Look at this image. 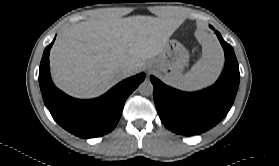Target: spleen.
<instances>
[{
	"label": "spleen",
	"mask_w": 279,
	"mask_h": 166,
	"mask_svg": "<svg viewBox=\"0 0 279 166\" xmlns=\"http://www.w3.org/2000/svg\"><path fill=\"white\" fill-rule=\"evenodd\" d=\"M202 44V56L185 75H179L169 82L184 91H196L213 84L223 67V53L216 39L205 32L197 34Z\"/></svg>",
	"instance_id": "3e777b00"
}]
</instances>
